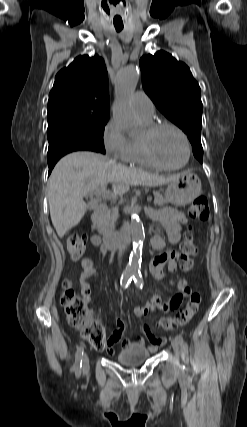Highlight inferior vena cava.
Segmentation results:
<instances>
[{
	"instance_id": "obj_1",
	"label": "inferior vena cava",
	"mask_w": 247,
	"mask_h": 427,
	"mask_svg": "<svg viewBox=\"0 0 247 427\" xmlns=\"http://www.w3.org/2000/svg\"><path fill=\"white\" fill-rule=\"evenodd\" d=\"M126 245L123 243L122 245H120L119 247V252H118V258L120 259L122 257V254L125 250Z\"/></svg>"
}]
</instances>
